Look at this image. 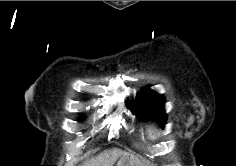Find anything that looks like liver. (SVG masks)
<instances>
[{
	"instance_id": "1",
	"label": "liver",
	"mask_w": 236,
	"mask_h": 166,
	"mask_svg": "<svg viewBox=\"0 0 236 166\" xmlns=\"http://www.w3.org/2000/svg\"><path fill=\"white\" fill-rule=\"evenodd\" d=\"M131 156L129 153L122 151L120 149L107 150L98 155L95 158H92L86 161L82 166H113L115 162L120 158ZM134 163L138 166H141L140 162L137 161L133 156H131Z\"/></svg>"
}]
</instances>
